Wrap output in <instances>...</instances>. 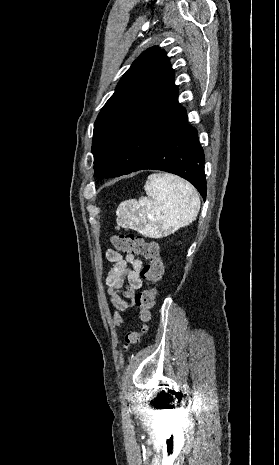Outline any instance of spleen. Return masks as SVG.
<instances>
[{
    "label": "spleen",
    "instance_id": "1",
    "mask_svg": "<svg viewBox=\"0 0 279 465\" xmlns=\"http://www.w3.org/2000/svg\"><path fill=\"white\" fill-rule=\"evenodd\" d=\"M147 197L122 202L117 224L147 236L168 235L191 224L200 210L195 189L179 177L151 174L145 183Z\"/></svg>",
    "mask_w": 279,
    "mask_h": 465
}]
</instances>
